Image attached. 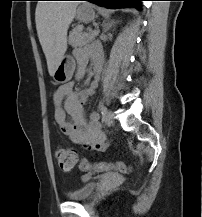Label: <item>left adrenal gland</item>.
<instances>
[{
  "label": "left adrenal gland",
  "instance_id": "1",
  "mask_svg": "<svg viewBox=\"0 0 202 217\" xmlns=\"http://www.w3.org/2000/svg\"><path fill=\"white\" fill-rule=\"evenodd\" d=\"M113 23H114V22L104 24V30H105V31L109 30Z\"/></svg>",
  "mask_w": 202,
  "mask_h": 217
}]
</instances>
